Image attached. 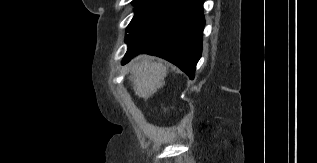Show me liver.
Listing matches in <instances>:
<instances>
[{
    "mask_svg": "<svg viewBox=\"0 0 317 163\" xmlns=\"http://www.w3.org/2000/svg\"><path fill=\"white\" fill-rule=\"evenodd\" d=\"M130 73L136 95L146 100L165 85L167 69L160 62L140 56L131 62Z\"/></svg>",
    "mask_w": 317,
    "mask_h": 163,
    "instance_id": "obj_1",
    "label": "liver"
}]
</instances>
